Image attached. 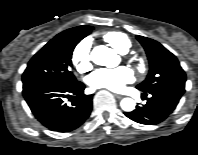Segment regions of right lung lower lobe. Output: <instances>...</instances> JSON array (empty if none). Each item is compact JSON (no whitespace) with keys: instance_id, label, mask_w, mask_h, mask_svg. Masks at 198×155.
I'll list each match as a JSON object with an SVG mask.
<instances>
[{"instance_id":"98d812e1","label":"right lung lower lobe","mask_w":198,"mask_h":155,"mask_svg":"<svg viewBox=\"0 0 198 155\" xmlns=\"http://www.w3.org/2000/svg\"><path fill=\"white\" fill-rule=\"evenodd\" d=\"M79 81L61 85L49 81L23 83V96L34 116L45 127L57 132H70L81 126L92 110V95H84ZM75 95V96H73ZM72 101L71 105L64 102Z\"/></svg>"}]
</instances>
